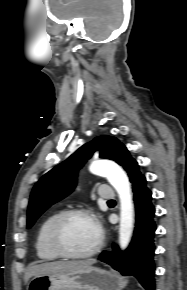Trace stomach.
I'll return each instance as SVG.
<instances>
[{"label":"stomach","mask_w":187,"mask_h":290,"mask_svg":"<svg viewBox=\"0 0 187 290\" xmlns=\"http://www.w3.org/2000/svg\"><path fill=\"white\" fill-rule=\"evenodd\" d=\"M128 281L118 274L88 266L35 276L27 290H122Z\"/></svg>","instance_id":"0dacf381"}]
</instances>
